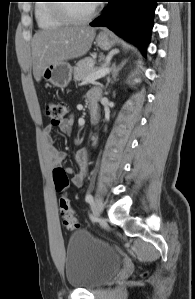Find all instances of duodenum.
Segmentation results:
<instances>
[{
    "instance_id": "410a0bca",
    "label": "duodenum",
    "mask_w": 195,
    "mask_h": 299,
    "mask_svg": "<svg viewBox=\"0 0 195 299\" xmlns=\"http://www.w3.org/2000/svg\"><path fill=\"white\" fill-rule=\"evenodd\" d=\"M96 109H97L96 105L90 104V106H89V114H90L91 117L95 116Z\"/></svg>"
}]
</instances>
